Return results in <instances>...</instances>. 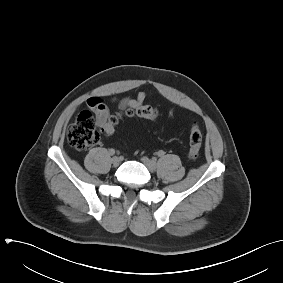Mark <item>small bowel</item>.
I'll return each mask as SVG.
<instances>
[{
	"instance_id": "obj_1",
	"label": "small bowel",
	"mask_w": 283,
	"mask_h": 283,
	"mask_svg": "<svg viewBox=\"0 0 283 283\" xmlns=\"http://www.w3.org/2000/svg\"><path fill=\"white\" fill-rule=\"evenodd\" d=\"M146 99V93L141 91L136 97H125L116 99L115 102L121 111L128 108H135L143 104ZM88 107L93 111L96 118L97 126L102 128L110 117V112L105 102L99 97H91L87 100Z\"/></svg>"
}]
</instances>
